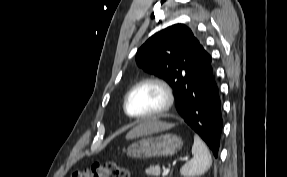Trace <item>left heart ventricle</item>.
Here are the masks:
<instances>
[{
	"label": "left heart ventricle",
	"mask_w": 287,
	"mask_h": 177,
	"mask_svg": "<svg viewBox=\"0 0 287 177\" xmlns=\"http://www.w3.org/2000/svg\"><path fill=\"white\" fill-rule=\"evenodd\" d=\"M163 101V93L158 87L154 85L141 86L129 98V112L136 116L153 113L162 106Z\"/></svg>",
	"instance_id": "b2bd125f"
}]
</instances>
